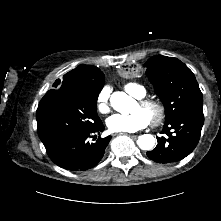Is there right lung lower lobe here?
Masks as SVG:
<instances>
[{
  "instance_id": "obj_1",
  "label": "right lung lower lobe",
  "mask_w": 221,
  "mask_h": 221,
  "mask_svg": "<svg viewBox=\"0 0 221 221\" xmlns=\"http://www.w3.org/2000/svg\"><path fill=\"white\" fill-rule=\"evenodd\" d=\"M104 130L103 123L100 122L88 132L79 134L62 145L47 151L51 160L58 166L71 171H85L96 166L102 159L105 148L111 137L107 136L96 139L95 134H100ZM93 137L95 142H91Z\"/></svg>"
}]
</instances>
